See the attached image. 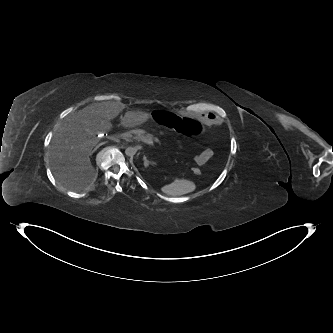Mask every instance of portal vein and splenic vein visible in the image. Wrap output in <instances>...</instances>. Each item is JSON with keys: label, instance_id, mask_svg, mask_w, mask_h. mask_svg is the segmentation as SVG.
I'll use <instances>...</instances> for the list:
<instances>
[{"label": "portal vein and splenic vein", "instance_id": "portal-vein-and-splenic-vein-1", "mask_svg": "<svg viewBox=\"0 0 333 333\" xmlns=\"http://www.w3.org/2000/svg\"><path fill=\"white\" fill-rule=\"evenodd\" d=\"M121 138H128L129 134L128 133H123L122 135H120ZM143 142L147 143V144H151L153 145L151 140H142Z\"/></svg>", "mask_w": 333, "mask_h": 333}]
</instances>
